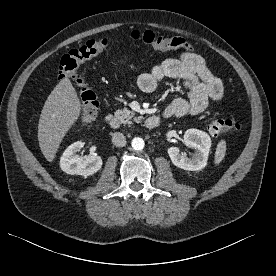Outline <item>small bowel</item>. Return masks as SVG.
<instances>
[{
    "instance_id": "1",
    "label": "small bowel",
    "mask_w": 276,
    "mask_h": 276,
    "mask_svg": "<svg viewBox=\"0 0 276 276\" xmlns=\"http://www.w3.org/2000/svg\"><path fill=\"white\" fill-rule=\"evenodd\" d=\"M165 78L178 79L188 91L187 98H176L164 110L166 117L197 115L210 102L223 97V84L206 66L204 58L196 53L183 52L177 58H168L150 72L138 76L137 85L143 92H153Z\"/></svg>"
}]
</instances>
